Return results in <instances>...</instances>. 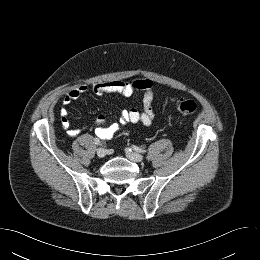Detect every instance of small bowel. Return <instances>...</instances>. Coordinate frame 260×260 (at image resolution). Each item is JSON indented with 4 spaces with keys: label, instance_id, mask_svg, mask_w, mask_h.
I'll return each mask as SVG.
<instances>
[{
    "label": "small bowel",
    "instance_id": "c3829d8e",
    "mask_svg": "<svg viewBox=\"0 0 260 260\" xmlns=\"http://www.w3.org/2000/svg\"><path fill=\"white\" fill-rule=\"evenodd\" d=\"M89 90H92L97 95L116 93L124 97H130L136 92H143L141 109L131 108L124 110L121 112L118 120L112 123H109L104 115L97 117L95 121V132L100 138H111L129 124L140 123L144 126H149L152 123L155 115L153 101L156 95V85L151 79H138L132 82L110 80L96 82L91 86L82 84L70 90L63 97V107L59 111L62 126L67 130L70 136H77L82 130L71 128L66 107Z\"/></svg>",
    "mask_w": 260,
    "mask_h": 260
}]
</instances>
